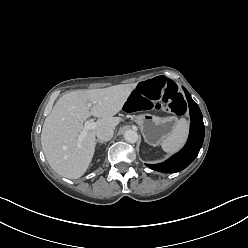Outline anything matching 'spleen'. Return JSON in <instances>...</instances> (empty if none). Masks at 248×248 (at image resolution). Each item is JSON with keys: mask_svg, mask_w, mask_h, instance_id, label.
Wrapping results in <instances>:
<instances>
[{"mask_svg": "<svg viewBox=\"0 0 248 248\" xmlns=\"http://www.w3.org/2000/svg\"><path fill=\"white\" fill-rule=\"evenodd\" d=\"M188 129L189 126L186 119L181 118L179 121H177L172 131L162 142V149L167 153H174L178 151L184 145L187 139Z\"/></svg>", "mask_w": 248, "mask_h": 248, "instance_id": "3e777b00", "label": "spleen"}]
</instances>
